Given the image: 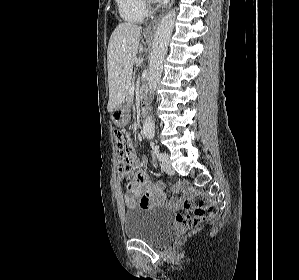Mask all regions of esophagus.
<instances>
[{"mask_svg": "<svg viewBox=\"0 0 299 280\" xmlns=\"http://www.w3.org/2000/svg\"><path fill=\"white\" fill-rule=\"evenodd\" d=\"M174 1H175V0H170L169 4H168V6H167L166 11H167L168 9L171 8V6L173 5ZM162 16H163V14H161L160 16H158L157 18H155V19H154V20H153V21H152V22L145 28V32H146V33H149V34H152V33L156 30V28H157V26H158V24H159V22H160Z\"/></svg>", "mask_w": 299, "mask_h": 280, "instance_id": "1", "label": "esophagus"}]
</instances>
